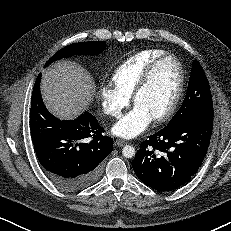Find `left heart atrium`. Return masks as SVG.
I'll list each match as a JSON object with an SVG mask.
<instances>
[{"label":"left heart atrium","mask_w":231,"mask_h":231,"mask_svg":"<svg viewBox=\"0 0 231 231\" xmlns=\"http://www.w3.org/2000/svg\"><path fill=\"white\" fill-rule=\"evenodd\" d=\"M153 120L147 111L135 105L113 126L112 131L123 138H134L144 132Z\"/></svg>","instance_id":"1"}]
</instances>
